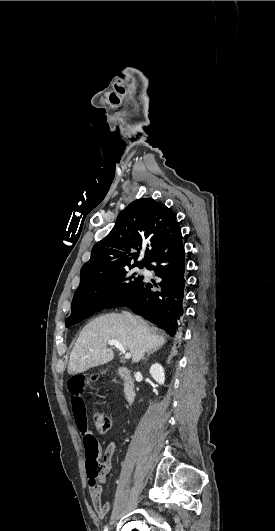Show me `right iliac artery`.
Listing matches in <instances>:
<instances>
[{"mask_svg": "<svg viewBox=\"0 0 275 531\" xmlns=\"http://www.w3.org/2000/svg\"><path fill=\"white\" fill-rule=\"evenodd\" d=\"M104 531H108V527L107 526H105Z\"/></svg>", "mask_w": 275, "mask_h": 531, "instance_id": "82829eb1", "label": "right iliac artery"}]
</instances>
